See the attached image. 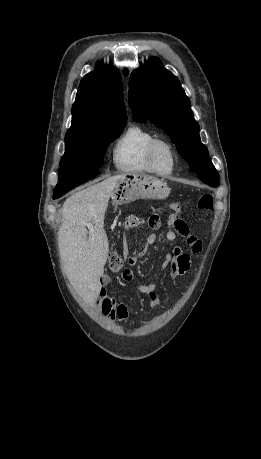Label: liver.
<instances>
[{"mask_svg":"<svg viewBox=\"0 0 261 459\" xmlns=\"http://www.w3.org/2000/svg\"><path fill=\"white\" fill-rule=\"evenodd\" d=\"M125 175L108 177L74 193L63 204L58 232L62 264L74 289L90 305L100 293V277L109 253L105 212L114 188Z\"/></svg>","mask_w":261,"mask_h":459,"instance_id":"obj_1","label":"liver"}]
</instances>
